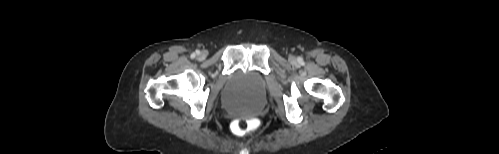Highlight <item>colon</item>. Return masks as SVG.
<instances>
[{"mask_svg": "<svg viewBox=\"0 0 499 154\" xmlns=\"http://www.w3.org/2000/svg\"><path fill=\"white\" fill-rule=\"evenodd\" d=\"M233 130L236 133H247L258 127V123L254 121H248L244 118L236 119L232 124Z\"/></svg>", "mask_w": 499, "mask_h": 154, "instance_id": "obj_1", "label": "colon"}]
</instances>
